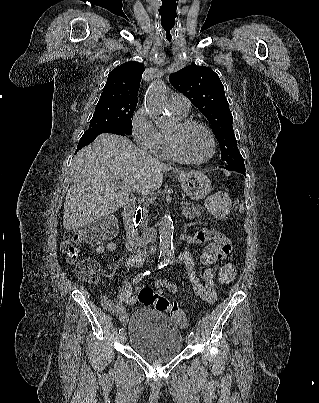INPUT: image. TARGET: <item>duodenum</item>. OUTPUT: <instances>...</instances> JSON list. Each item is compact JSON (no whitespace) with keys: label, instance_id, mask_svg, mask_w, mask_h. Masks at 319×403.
<instances>
[{"label":"duodenum","instance_id":"1","mask_svg":"<svg viewBox=\"0 0 319 403\" xmlns=\"http://www.w3.org/2000/svg\"><path fill=\"white\" fill-rule=\"evenodd\" d=\"M138 208V202L135 200H128L123 208L121 218L123 228L126 235V246L129 250L143 253L146 245L154 241L157 235L155 227L147 228L142 235L137 234L136 227L134 226V217Z\"/></svg>","mask_w":319,"mask_h":403}]
</instances>
